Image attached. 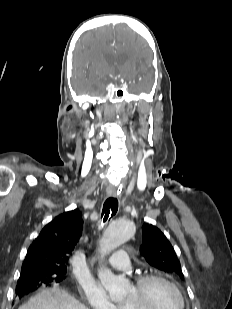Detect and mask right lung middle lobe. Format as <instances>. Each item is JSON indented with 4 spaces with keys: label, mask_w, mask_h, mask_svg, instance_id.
Returning a JSON list of instances; mask_svg holds the SVG:
<instances>
[{
    "label": "right lung middle lobe",
    "mask_w": 232,
    "mask_h": 309,
    "mask_svg": "<svg viewBox=\"0 0 232 309\" xmlns=\"http://www.w3.org/2000/svg\"><path fill=\"white\" fill-rule=\"evenodd\" d=\"M65 271L43 270L21 272L17 287L29 286H51L58 284L65 279Z\"/></svg>",
    "instance_id": "right-lung-middle-lobe-1"
}]
</instances>
